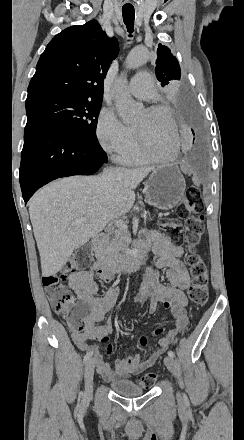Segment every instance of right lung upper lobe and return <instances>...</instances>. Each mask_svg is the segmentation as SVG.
<instances>
[{
	"mask_svg": "<svg viewBox=\"0 0 244 440\" xmlns=\"http://www.w3.org/2000/svg\"><path fill=\"white\" fill-rule=\"evenodd\" d=\"M119 52L96 20L56 35L42 53L27 99L44 96L103 98L104 77Z\"/></svg>",
	"mask_w": 244,
	"mask_h": 440,
	"instance_id": "obj_1",
	"label": "right lung upper lobe"
}]
</instances>
